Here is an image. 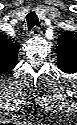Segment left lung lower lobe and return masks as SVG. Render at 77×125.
<instances>
[{
    "label": "left lung lower lobe",
    "instance_id": "1",
    "mask_svg": "<svg viewBox=\"0 0 77 125\" xmlns=\"http://www.w3.org/2000/svg\"><path fill=\"white\" fill-rule=\"evenodd\" d=\"M59 68L61 71L65 72V73H73L75 71L74 68L66 67V66H60Z\"/></svg>",
    "mask_w": 77,
    "mask_h": 125
}]
</instances>
